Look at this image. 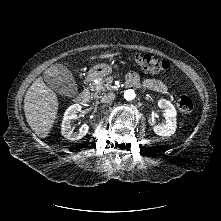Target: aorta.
<instances>
[{
    "label": "aorta",
    "instance_id": "762f6f07",
    "mask_svg": "<svg viewBox=\"0 0 221 221\" xmlns=\"http://www.w3.org/2000/svg\"><path fill=\"white\" fill-rule=\"evenodd\" d=\"M135 97L134 91H129L126 93V98L127 99H133Z\"/></svg>",
    "mask_w": 221,
    "mask_h": 221
}]
</instances>
